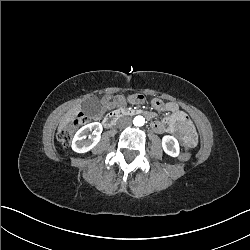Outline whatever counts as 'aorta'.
Masks as SVG:
<instances>
[{"mask_svg": "<svg viewBox=\"0 0 250 250\" xmlns=\"http://www.w3.org/2000/svg\"><path fill=\"white\" fill-rule=\"evenodd\" d=\"M144 123V120L143 119H139V122L138 123ZM135 124V123H134Z\"/></svg>", "mask_w": 250, "mask_h": 250, "instance_id": "762f6f07", "label": "aorta"}]
</instances>
